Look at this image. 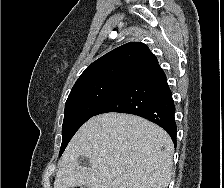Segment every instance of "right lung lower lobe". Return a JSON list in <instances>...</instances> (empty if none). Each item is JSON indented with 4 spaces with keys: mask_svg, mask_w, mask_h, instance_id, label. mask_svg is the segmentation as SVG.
<instances>
[{
    "mask_svg": "<svg viewBox=\"0 0 224 188\" xmlns=\"http://www.w3.org/2000/svg\"><path fill=\"white\" fill-rule=\"evenodd\" d=\"M107 112L134 114L148 119L165 129L176 144L175 105L166 75L158 63L134 78L95 115Z\"/></svg>",
    "mask_w": 224,
    "mask_h": 188,
    "instance_id": "obj_1",
    "label": "right lung lower lobe"
}]
</instances>
